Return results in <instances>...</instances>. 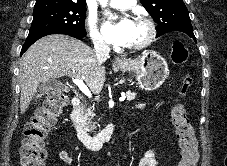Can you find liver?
<instances>
[{"instance_id":"liver-1","label":"liver","mask_w":227,"mask_h":166,"mask_svg":"<svg viewBox=\"0 0 227 166\" xmlns=\"http://www.w3.org/2000/svg\"><path fill=\"white\" fill-rule=\"evenodd\" d=\"M63 76L84 80L94 94L101 92L106 79L95 50L82 41L60 34L39 39L26 51L20 64L21 113L27 110L41 82Z\"/></svg>"}]
</instances>
